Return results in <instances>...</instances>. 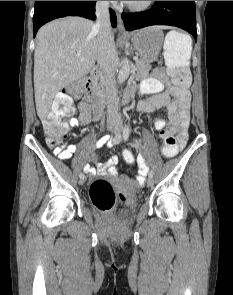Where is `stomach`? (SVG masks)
Here are the masks:
<instances>
[{"mask_svg": "<svg viewBox=\"0 0 233 295\" xmlns=\"http://www.w3.org/2000/svg\"><path fill=\"white\" fill-rule=\"evenodd\" d=\"M130 36L141 60L146 63L157 60L164 40V34L159 27L151 26L136 30Z\"/></svg>", "mask_w": 233, "mask_h": 295, "instance_id": "0dacf381", "label": "stomach"}]
</instances>
